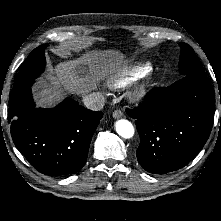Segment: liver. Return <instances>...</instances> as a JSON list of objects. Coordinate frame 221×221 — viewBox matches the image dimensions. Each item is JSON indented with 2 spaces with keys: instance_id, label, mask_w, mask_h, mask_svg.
Masks as SVG:
<instances>
[{
  "instance_id": "1",
  "label": "liver",
  "mask_w": 221,
  "mask_h": 221,
  "mask_svg": "<svg viewBox=\"0 0 221 221\" xmlns=\"http://www.w3.org/2000/svg\"><path fill=\"white\" fill-rule=\"evenodd\" d=\"M123 54L115 50L91 51L75 60L58 63L54 68L55 77L51 83L43 82L36 86L35 97L39 106L50 107L68 92L86 95L97 86V82L125 66Z\"/></svg>"
}]
</instances>
